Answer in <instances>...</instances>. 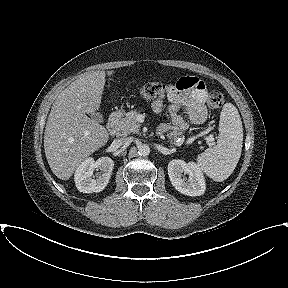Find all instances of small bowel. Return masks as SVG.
Masks as SVG:
<instances>
[{"label":"small bowel","instance_id":"obj_1","mask_svg":"<svg viewBox=\"0 0 288 288\" xmlns=\"http://www.w3.org/2000/svg\"><path fill=\"white\" fill-rule=\"evenodd\" d=\"M207 90L205 84L196 77H182L175 84V89L167 94L169 101V114L175 129L185 131L189 123L193 125L202 124L207 117L205 106ZM163 98H158L152 103V109L155 113L163 110ZM184 111L188 120L182 117L179 112ZM169 126L162 125L161 132H165Z\"/></svg>","mask_w":288,"mask_h":288}]
</instances>
